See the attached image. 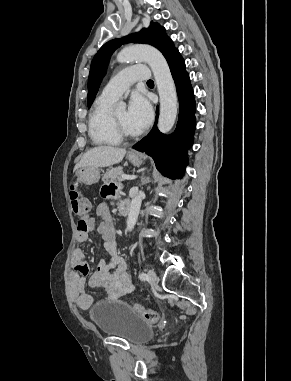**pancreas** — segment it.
I'll return each mask as SVG.
<instances>
[{
  "mask_svg": "<svg viewBox=\"0 0 291 381\" xmlns=\"http://www.w3.org/2000/svg\"><path fill=\"white\" fill-rule=\"evenodd\" d=\"M122 174H123V170L121 167H117V168H113V169H110L108 170L102 180L104 182H116V181H122Z\"/></svg>",
  "mask_w": 291,
  "mask_h": 381,
  "instance_id": "pancreas-1",
  "label": "pancreas"
}]
</instances>
